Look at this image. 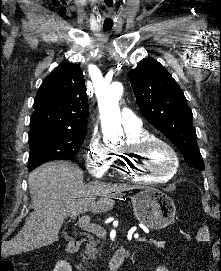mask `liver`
<instances>
[{
  "mask_svg": "<svg viewBox=\"0 0 221 271\" xmlns=\"http://www.w3.org/2000/svg\"><path fill=\"white\" fill-rule=\"evenodd\" d=\"M28 183L34 211L29 213L19 233L2 245L3 255H16L59 241L65 217L112 209L111 191L134 189L126 183H83L82 169L67 161L43 163L29 173ZM96 195H100L99 199Z\"/></svg>",
  "mask_w": 221,
  "mask_h": 271,
  "instance_id": "6515ba94",
  "label": "liver"
}]
</instances>
